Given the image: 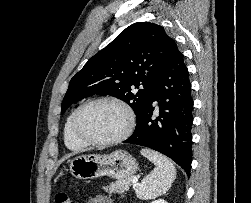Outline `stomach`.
<instances>
[{"instance_id":"0dacf381","label":"stomach","mask_w":251,"mask_h":203,"mask_svg":"<svg viewBox=\"0 0 251 203\" xmlns=\"http://www.w3.org/2000/svg\"><path fill=\"white\" fill-rule=\"evenodd\" d=\"M137 169L136 159L124 150L103 155H81L70 161L71 174L78 179H94L102 176L125 179L132 177Z\"/></svg>"}]
</instances>
